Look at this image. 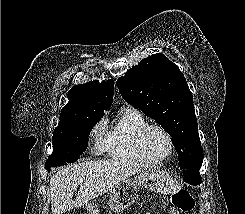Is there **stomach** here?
<instances>
[{
  "label": "stomach",
  "mask_w": 245,
  "mask_h": 214,
  "mask_svg": "<svg viewBox=\"0 0 245 214\" xmlns=\"http://www.w3.org/2000/svg\"><path fill=\"white\" fill-rule=\"evenodd\" d=\"M140 188H147L162 195H173L180 188L175 179L156 171H144L133 179H127L118 187L109 191L108 206L115 212L128 208L137 198ZM87 214H97L96 206L92 203L84 205Z\"/></svg>",
  "instance_id": "stomach-1"
}]
</instances>
